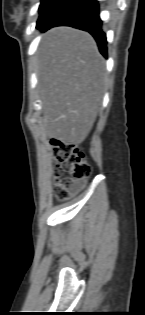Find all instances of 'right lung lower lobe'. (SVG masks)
Masks as SVG:
<instances>
[{"instance_id": "right-lung-lower-lobe-1", "label": "right lung lower lobe", "mask_w": 145, "mask_h": 315, "mask_svg": "<svg viewBox=\"0 0 145 315\" xmlns=\"http://www.w3.org/2000/svg\"><path fill=\"white\" fill-rule=\"evenodd\" d=\"M101 24L97 0H67L41 28V31L55 26H71L88 31L95 38L101 54L106 57L107 41Z\"/></svg>"}]
</instances>
